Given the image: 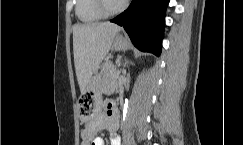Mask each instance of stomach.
Segmentation results:
<instances>
[{
  "label": "stomach",
  "mask_w": 243,
  "mask_h": 145,
  "mask_svg": "<svg viewBox=\"0 0 243 145\" xmlns=\"http://www.w3.org/2000/svg\"><path fill=\"white\" fill-rule=\"evenodd\" d=\"M128 46L127 40L123 35H116L114 47L118 50L126 49ZM103 82V74L94 73L90 79L82 97H79L78 106L83 121H89L94 116H98L103 98H100L99 90Z\"/></svg>",
  "instance_id": "1"
}]
</instances>
